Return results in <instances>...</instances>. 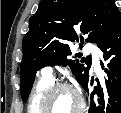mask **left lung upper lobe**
<instances>
[{
	"mask_svg": "<svg viewBox=\"0 0 121 113\" xmlns=\"http://www.w3.org/2000/svg\"><path fill=\"white\" fill-rule=\"evenodd\" d=\"M120 17L115 0H43L29 19V31L22 42V100L27 101L36 72L47 65H68L85 87L89 81L91 58L67 59L71 55L69 44L78 41L77 31L80 30L87 34L86 42L99 47L110 36Z\"/></svg>",
	"mask_w": 121,
	"mask_h": 113,
	"instance_id": "1",
	"label": "left lung upper lobe"
}]
</instances>
